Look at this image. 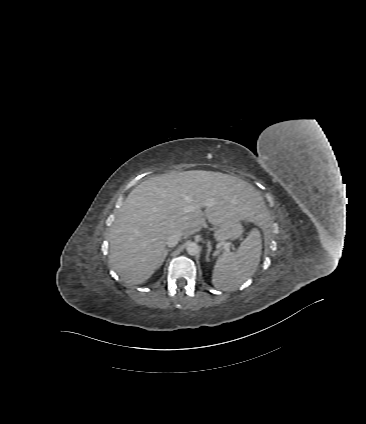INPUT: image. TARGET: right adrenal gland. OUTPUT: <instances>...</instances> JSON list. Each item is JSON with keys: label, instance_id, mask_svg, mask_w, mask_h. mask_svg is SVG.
Instances as JSON below:
<instances>
[{"label": "right adrenal gland", "instance_id": "obj_1", "mask_svg": "<svg viewBox=\"0 0 366 424\" xmlns=\"http://www.w3.org/2000/svg\"><path fill=\"white\" fill-rule=\"evenodd\" d=\"M171 250H172V249H166V250H165V252H164V254H163V256H162V259H161V261H160V263H159V267L163 264V262L165 261V259H166L167 255H168V253H169Z\"/></svg>", "mask_w": 366, "mask_h": 424}]
</instances>
